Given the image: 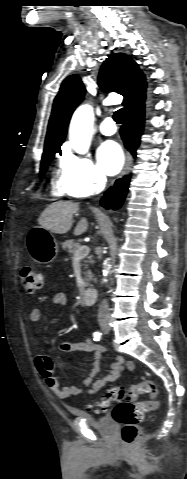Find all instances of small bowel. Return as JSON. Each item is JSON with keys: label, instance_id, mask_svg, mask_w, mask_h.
I'll return each instance as SVG.
<instances>
[{"label": "small bowel", "instance_id": "c3829d8e", "mask_svg": "<svg viewBox=\"0 0 187 479\" xmlns=\"http://www.w3.org/2000/svg\"><path fill=\"white\" fill-rule=\"evenodd\" d=\"M52 305L54 313H57L60 309L68 306V296L63 292H55L52 296ZM41 320V312L39 309L34 308L29 314V321L33 325L39 324ZM38 345L42 344V339L38 337L36 339ZM59 349L62 352H75L85 351L94 355V368L89 375L84 379L82 384L73 386H61L58 377L53 371V362L49 355L41 354L36 359V365L43 376L47 386L60 398L69 399L81 396L85 393L95 394L109 383L116 382L121 373L125 369H133L135 367L134 362L125 361L122 357H118L110 365L111 370L105 375L98 377L102 354L106 349L90 339L86 338L82 342H62L59 345Z\"/></svg>", "mask_w": 187, "mask_h": 479}]
</instances>
